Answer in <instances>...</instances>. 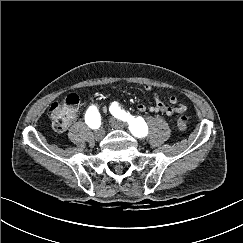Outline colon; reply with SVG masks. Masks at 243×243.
I'll return each mask as SVG.
<instances>
[{
    "instance_id": "1",
    "label": "colon",
    "mask_w": 243,
    "mask_h": 243,
    "mask_svg": "<svg viewBox=\"0 0 243 243\" xmlns=\"http://www.w3.org/2000/svg\"><path fill=\"white\" fill-rule=\"evenodd\" d=\"M79 108V97L70 94L60 102L53 103L49 108V117L56 131H64L74 121ZM188 126L187 117L182 115L178 118L177 127L185 131Z\"/></svg>"
}]
</instances>
